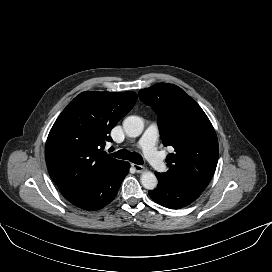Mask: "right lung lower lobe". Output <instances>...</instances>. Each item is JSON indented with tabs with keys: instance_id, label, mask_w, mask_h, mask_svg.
Here are the masks:
<instances>
[{
	"instance_id": "right-lung-lower-lobe-1",
	"label": "right lung lower lobe",
	"mask_w": 272,
	"mask_h": 272,
	"mask_svg": "<svg viewBox=\"0 0 272 272\" xmlns=\"http://www.w3.org/2000/svg\"><path fill=\"white\" fill-rule=\"evenodd\" d=\"M129 168L130 165L127 162L118 161L95 182L87 186L60 190V192L79 208L87 211L99 210L115 198Z\"/></svg>"
}]
</instances>
